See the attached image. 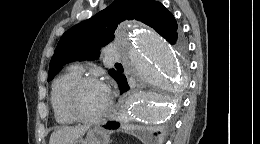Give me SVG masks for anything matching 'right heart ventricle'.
Here are the masks:
<instances>
[{"label":"right heart ventricle","mask_w":260,"mask_h":144,"mask_svg":"<svg viewBox=\"0 0 260 144\" xmlns=\"http://www.w3.org/2000/svg\"><path fill=\"white\" fill-rule=\"evenodd\" d=\"M81 77V72L74 67L69 68L56 78L52 86L51 105L55 120L60 125H69L74 119L65 108V100L72 85Z\"/></svg>","instance_id":"obj_1"}]
</instances>
